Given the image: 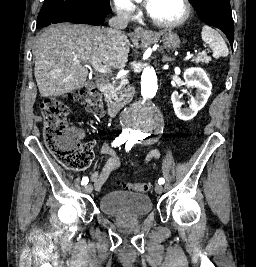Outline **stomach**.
Masks as SVG:
<instances>
[{
    "label": "stomach",
    "instance_id": "stomach-1",
    "mask_svg": "<svg viewBox=\"0 0 256 267\" xmlns=\"http://www.w3.org/2000/svg\"><path fill=\"white\" fill-rule=\"evenodd\" d=\"M150 38H154L153 34ZM150 38H147V40H150ZM156 38H161V42H163L166 48H179L181 44L179 36L174 34V32H170V30H162Z\"/></svg>",
    "mask_w": 256,
    "mask_h": 267
}]
</instances>
